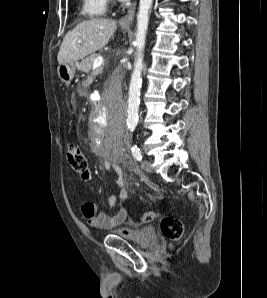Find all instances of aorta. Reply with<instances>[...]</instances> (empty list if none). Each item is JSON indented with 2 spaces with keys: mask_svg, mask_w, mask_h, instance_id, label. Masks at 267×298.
I'll list each match as a JSON object with an SVG mask.
<instances>
[{
  "mask_svg": "<svg viewBox=\"0 0 267 298\" xmlns=\"http://www.w3.org/2000/svg\"><path fill=\"white\" fill-rule=\"evenodd\" d=\"M153 0H140L139 12L137 15V29L135 46L137 48L136 58L134 62V70L131 75L129 86V99L127 109V126L133 131L138 123V112L140 104V88H141V73L143 68V51L145 47L146 34L149 23V11L152 7Z\"/></svg>",
  "mask_w": 267,
  "mask_h": 298,
  "instance_id": "1",
  "label": "aorta"
}]
</instances>
